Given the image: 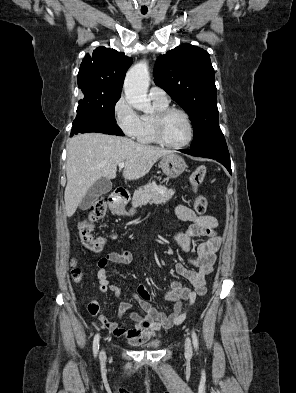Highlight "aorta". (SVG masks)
Here are the masks:
<instances>
[{"label":"aorta","mask_w":296,"mask_h":393,"mask_svg":"<svg viewBox=\"0 0 296 393\" xmlns=\"http://www.w3.org/2000/svg\"><path fill=\"white\" fill-rule=\"evenodd\" d=\"M150 82L148 65L146 61H141L134 65L126 74L124 81V92L126 100L135 109L145 113L152 111L147 92Z\"/></svg>","instance_id":"obj_1"}]
</instances>
